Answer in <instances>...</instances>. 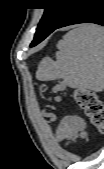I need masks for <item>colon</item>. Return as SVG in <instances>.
<instances>
[{"label": "colon", "mask_w": 104, "mask_h": 169, "mask_svg": "<svg viewBox=\"0 0 104 169\" xmlns=\"http://www.w3.org/2000/svg\"><path fill=\"white\" fill-rule=\"evenodd\" d=\"M41 90H45V86H41ZM63 90V84H58L55 87L54 99L56 101L61 100L60 92ZM74 99L89 119L91 125L99 132H104V108L97 94L87 89H76Z\"/></svg>", "instance_id": "obj_1"}]
</instances>
